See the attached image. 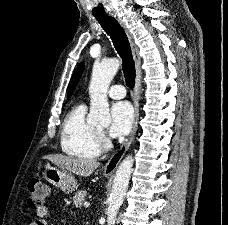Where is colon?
I'll use <instances>...</instances> for the list:
<instances>
[{"instance_id": "1", "label": "colon", "mask_w": 228, "mask_h": 225, "mask_svg": "<svg viewBox=\"0 0 228 225\" xmlns=\"http://www.w3.org/2000/svg\"><path fill=\"white\" fill-rule=\"evenodd\" d=\"M48 192V186L40 179H31L27 185V201L30 208H42L48 200Z\"/></svg>"}]
</instances>
